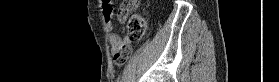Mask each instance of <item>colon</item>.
Instances as JSON below:
<instances>
[{
  "instance_id": "obj_1",
  "label": "colon",
  "mask_w": 279,
  "mask_h": 82,
  "mask_svg": "<svg viewBox=\"0 0 279 82\" xmlns=\"http://www.w3.org/2000/svg\"><path fill=\"white\" fill-rule=\"evenodd\" d=\"M138 4L136 0L124 1L118 10V20L124 25L127 31L128 45L123 49L124 59L128 60L132 54L131 44L140 39L144 27L142 20L138 15L133 13V7Z\"/></svg>"
}]
</instances>
